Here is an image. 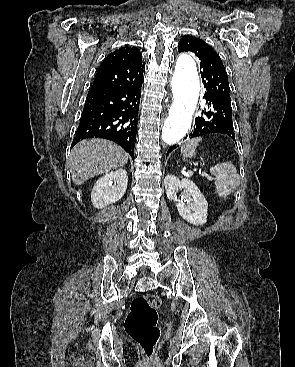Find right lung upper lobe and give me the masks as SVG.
Segmentation results:
<instances>
[{
  "mask_svg": "<svg viewBox=\"0 0 295 367\" xmlns=\"http://www.w3.org/2000/svg\"><path fill=\"white\" fill-rule=\"evenodd\" d=\"M144 66L136 47H122L100 65L91 88L122 89L141 85Z\"/></svg>",
  "mask_w": 295,
  "mask_h": 367,
  "instance_id": "obj_1",
  "label": "right lung upper lobe"
}]
</instances>
